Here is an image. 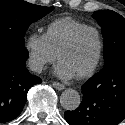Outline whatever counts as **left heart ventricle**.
Wrapping results in <instances>:
<instances>
[{
	"label": "left heart ventricle",
	"instance_id": "b2bd125f",
	"mask_svg": "<svg viewBox=\"0 0 125 125\" xmlns=\"http://www.w3.org/2000/svg\"><path fill=\"white\" fill-rule=\"evenodd\" d=\"M97 51V35L93 31H86L78 37L70 49L61 55L60 61L76 76L92 65Z\"/></svg>",
	"mask_w": 125,
	"mask_h": 125
}]
</instances>
